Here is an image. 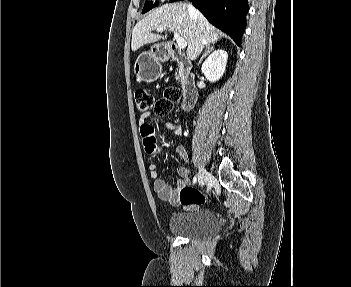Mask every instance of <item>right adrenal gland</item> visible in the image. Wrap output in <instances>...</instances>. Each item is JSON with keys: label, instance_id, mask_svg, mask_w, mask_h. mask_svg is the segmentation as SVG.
Instances as JSON below:
<instances>
[{"label": "right adrenal gland", "instance_id": "2a0ac1e0", "mask_svg": "<svg viewBox=\"0 0 351 287\" xmlns=\"http://www.w3.org/2000/svg\"><path fill=\"white\" fill-rule=\"evenodd\" d=\"M214 50V46H210V44L206 45V49L204 54L202 55V57L200 58L198 65L201 64V62L203 61V59Z\"/></svg>", "mask_w": 351, "mask_h": 287}]
</instances>
